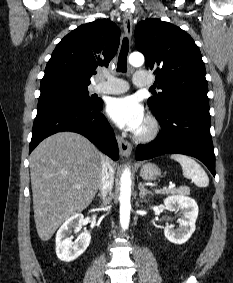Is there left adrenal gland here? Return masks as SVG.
I'll return each instance as SVG.
<instances>
[{"label":"left adrenal gland","instance_id":"a2214340","mask_svg":"<svg viewBox=\"0 0 233 283\" xmlns=\"http://www.w3.org/2000/svg\"><path fill=\"white\" fill-rule=\"evenodd\" d=\"M139 196H140V199H144L148 194H151L150 191H148L147 189H145L144 185L140 182L139 183Z\"/></svg>","mask_w":233,"mask_h":283}]
</instances>
